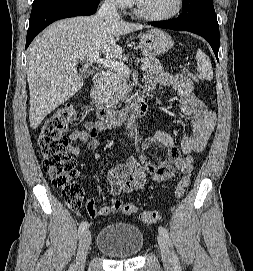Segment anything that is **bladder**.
<instances>
[{"mask_svg": "<svg viewBox=\"0 0 253 271\" xmlns=\"http://www.w3.org/2000/svg\"><path fill=\"white\" fill-rule=\"evenodd\" d=\"M143 232L131 223L114 222L99 232L96 247L114 260L137 257L144 247Z\"/></svg>", "mask_w": 253, "mask_h": 271, "instance_id": "1", "label": "bladder"}]
</instances>
